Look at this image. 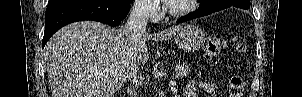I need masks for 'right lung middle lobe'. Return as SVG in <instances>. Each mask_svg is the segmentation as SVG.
<instances>
[{
	"mask_svg": "<svg viewBox=\"0 0 302 97\" xmlns=\"http://www.w3.org/2000/svg\"><path fill=\"white\" fill-rule=\"evenodd\" d=\"M121 1H125V2H133V0H121Z\"/></svg>",
	"mask_w": 302,
	"mask_h": 97,
	"instance_id": "obj_1",
	"label": "right lung middle lobe"
}]
</instances>
